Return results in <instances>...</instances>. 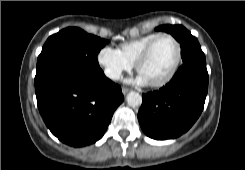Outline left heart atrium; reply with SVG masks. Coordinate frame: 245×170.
<instances>
[{"label": "left heart atrium", "mask_w": 245, "mask_h": 170, "mask_svg": "<svg viewBox=\"0 0 245 170\" xmlns=\"http://www.w3.org/2000/svg\"><path fill=\"white\" fill-rule=\"evenodd\" d=\"M137 82L138 83H140V84H144V83H146L147 81H146V79L143 77V76H139L138 77V79H137Z\"/></svg>", "instance_id": "1"}]
</instances>
